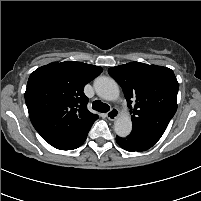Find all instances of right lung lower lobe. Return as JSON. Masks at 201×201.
I'll list each match as a JSON object with an SVG mask.
<instances>
[{
    "mask_svg": "<svg viewBox=\"0 0 201 201\" xmlns=\"http://www.w3.org/2000/svg\"><path fill=\"white\" fill-rule=\"evenodd\" d=\"M86 132L72 136V137H65V138H46L45 141L48 142L53 147L60 149V150H73L81 146L84 141L86 140L87 134Z\"/></svg>",
    "mask_w": 201,
    "mask_h": 201,
    "instance_id": "obj_1",
    "label": "right lung lower lobe"
}]
</instances>
